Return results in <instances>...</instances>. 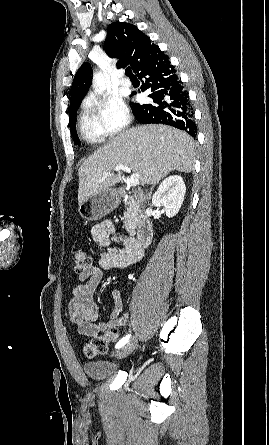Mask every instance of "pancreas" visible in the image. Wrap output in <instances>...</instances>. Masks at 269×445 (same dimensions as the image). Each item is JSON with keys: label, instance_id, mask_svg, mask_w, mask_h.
I'll use <instances>...</instances> for the list:
<instances>
[{"label": "pancreas", "instance_id": "obj_1", "mask_svg": "<svg viewBox=\"0 0 269 445\" xmlns=\"http://www.w3.org/2000/svg\"><path fill=\"white\" fill-rule=\"evenodd\" d=\"M125 204L128 205L124 218H125V228L127 232L132 236L135 234V229L138 225L139 219L142 216V211L140 210V205L137 201H135L132 197H128L127 200H124Z\"/></svg>", "mask_w": 269, "mask_h": 445}]
</instances>
